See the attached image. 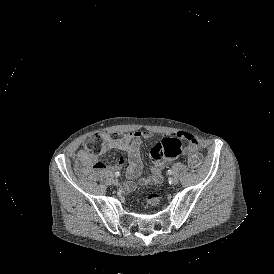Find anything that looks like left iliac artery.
Segmentation results:
<instances>
[{"label": "left iliac artery", "instance_id": "44dca946", "mask_svg": "<svg viewBox=\"0 0 274 274\" xmlns=\"http://www.w3.org/2000/svg\"><path fill=\"white\" fill-rule=\"evenodd\" d=\"M167 174H168V175H172V174H173V170H172V169H169V170L167 171Z\"/></svg>", "mask_w": 274, "mask_h": 274}]
</instances>
